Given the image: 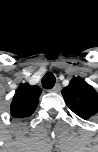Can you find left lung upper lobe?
<instances>
[{
    "label": "left lung upper lobe",
    "instance_id": "left-lung-upper-lobe-1",
    "mask_svg": "<svg viewBox=\"0 0 98 152\" xmlns=\"http://www.w3.org/2000/svg\"><path fill=\"white\" fill-rule=\"evenodd\" d=\"M68 107L79 117L87 120L98 113V93L80 77L73 78L62 90Z\"/></svg>",
    "mask_w": 98,
    "mask_h": 152
}]
</instances>
